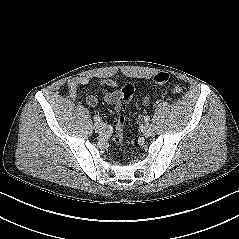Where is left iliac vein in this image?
Returning <instances> with one entry per match:
<instances>
[{
    "mask_svg": "<svg viewBox=\"0 0 239 239\" xmlns=\"http://www.w3.org/2000/svg\"><path fill=\"white\" fill-rule=\"evenodd\" d=\"M143 133H144V135H145L146 137L152 136L153 133H154V128H153V126H152L151 124H146V125L144 126Z\"/></svg>",
    "mask_w": 239,
    "mask_h": 239,
    "instance_id": "obj_1",
    "label": "left iliac vein"
}]
</instances>
